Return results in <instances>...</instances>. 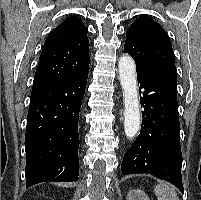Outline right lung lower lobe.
Here are the masks:
<instances>
[{
	"label": "right lung lower lobe",
	"instance_id": "98d812e1",
	"mask_svg": "<svg viewBox=\"0 0 201 200\" xmlns=\"http://www.w3.org/2000/svg\"><path fill=\"white\" fill-rule=\"evenodd\" d=\"M88 66L71 79L32 90L25 134L26 188L78 180V121Z\"/></svg>",
	"mask_w": 201,
	"mask_h": 200
}]
</instances>
